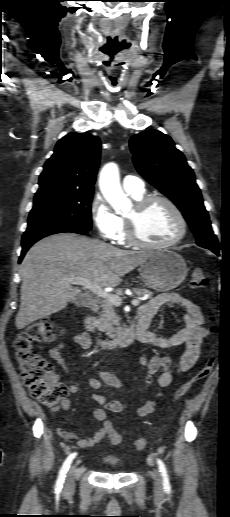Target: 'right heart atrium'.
<instances>
[{
	"label": "right heart atrium",
	"mask_w": 230,
	"mask_h": 517,
	"mask_svg": "<svg viewBox=\"0 0 230 517\" xmlns=\"http://www.w3.org/2000/svg\"><path fill=\"white\" fill-rule=\"evenodd\" d=\"M90 210L92 220L99 235L104 240H117L122 229V221L107 201L101 195L95 196L92 200Z\"/></svg>",
	"instance_id": "1"
}]
</instances>
